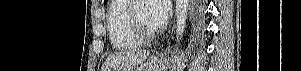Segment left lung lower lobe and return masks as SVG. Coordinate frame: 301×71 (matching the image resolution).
<instances>
[{"instance_id": "0a47b994", "label": "left lung lower lobe", "mask_w": 301, "mask_h": 71, "mask_svg": "<svg viewBox=\"0 0 301 71\" xmlns=\"http://www.w3.org/2000/svg\"><path fill=\"white\" fill-rule=\"evenodd\" d=\"M205 10L206 3L204 0H195L192 3V20H193V28L197 33L203 35L205 30Z\"/></svg>"}]
</instances>
